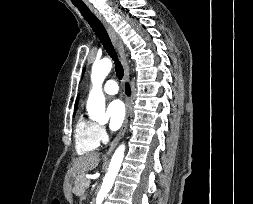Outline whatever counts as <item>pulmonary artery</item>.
I'll return each mask as SVG.
<instances>
[{"label":"pulmonary artery","mask_w":253,"mask_h":204,"mask_svg":"<svg viewBox=\"0 0 253 204\" xmlns=\"http://www.w3.org/2000/svg\"><path fill=\"white\" fill-rule=\"evenodd\" d=\"M119 87L115 80H108L103 87V91L107 95H115L118 93Z\"/></svg>","instance_id":"obj_1"}]
</instances>
